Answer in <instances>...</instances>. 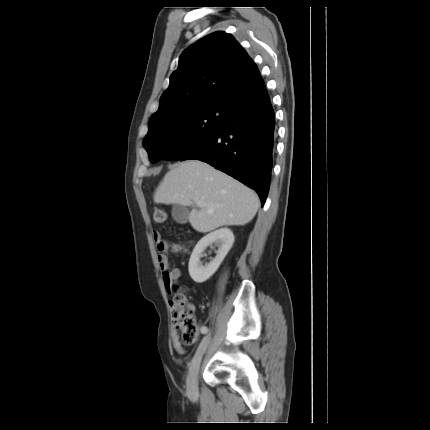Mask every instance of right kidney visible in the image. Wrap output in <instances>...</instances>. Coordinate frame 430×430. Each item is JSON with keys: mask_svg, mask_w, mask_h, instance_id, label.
I'll return each instance as SVG.
<instances>
[{"mask_svg": "<svg viewBox=\"0 0 430 430\" xmlns=\"http://www.w3.org/2000/svg\"><path fill=\"white\" fill-rule=\"evenodd\" d=\"M215 243L218 246L216 257L208 264L201 263L200 258L207 246ZM234 243L233 232L228 228H221L207 234L196 244L189 260L188 271L196 283L207 281L219 268Z\"/></svg>", "mask_w": 430, "mask_h": 430, "instance_id": "1", "label": "right kidney"}]
</instances>
